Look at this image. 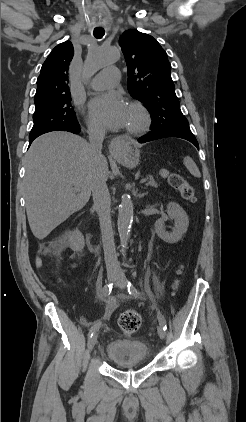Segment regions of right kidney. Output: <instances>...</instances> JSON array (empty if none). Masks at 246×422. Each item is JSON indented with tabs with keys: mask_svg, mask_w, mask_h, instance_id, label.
Listing matches in <instances>:
<instances>
[{
	"mask_svg": "<svg viewBox=\"0 0 246 422\" xmlns=\"http://www.w3.org/2000/svg\"><path fill=\"white\" fill-rule=\"evenodd\" d=\"M67 241L70 248L74 252H81L85 246V240L83 234L79 230H74L67 235Z\"/></svg>",
	"mask_w": 246,
	"mask_h": 422,
	"instance_id": "right-kidney-1",
	"label": "right kidney"
}]
</instances>
